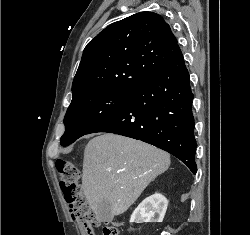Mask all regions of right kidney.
<instances>
[{
	"instance_id": "1",
	"label": "right kidney",
	"mask_w": 250,
	"mask_h": 235,
	"mask_svg": "<svg viewBox=\"0 0 250 235\" xmlns=\"http://www.w3.org/2000/svg\"><path fill=\"white\" fill-rule=\"evenodd\" d=\"M168 206L167 199L155 193L144 199L131 215L130 222H162Z\"/></svg>"
}]
</instances>
